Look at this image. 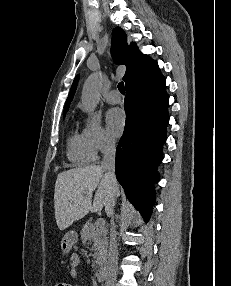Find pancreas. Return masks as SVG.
<instances>
[{
  "label": "pancreas",
  "mask_w": 231,
  "mask_h": 286,
  "mask_svg": "<svg viewBox=\"0 0 231 286\" xmlns=\"http://www.w3.org/2000/svg\"><path fill=\"white\" fill-rule=\"evenodd\" d=\"M81 239L84 245L93 243L90 251L94 261L92 267H100L104 264L107 253V229L106 227L98 228L95 224L87 222L83 225L81 231Z\"/></svg>",
  "instance_id": "pancreas-1"
}]
</instances>
